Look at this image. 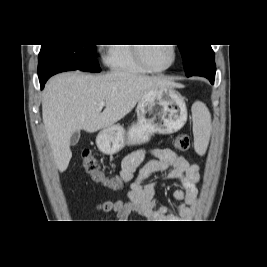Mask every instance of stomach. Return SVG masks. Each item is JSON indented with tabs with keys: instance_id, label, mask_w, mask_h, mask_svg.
<instances>
[{
	"instance_id": "1",
	"label": "stomach",
	"mask_w": 267,
	"mask_h": 267,
	"mask_svg": "<svg viewBox=\"0 0 267 267\" xmlns=\"http://www.w3.org/2000/svg\"><path fill=\"white\" fill-rule=\"evenodd\" d=\"M137 123L126 132L121 125L104 128L96 137L98 149L107 155L122 150L125 145L146 143L154 134H171L187 121L184 98L174 87L148 91L138 102Z\"/></svg>"
}]
</instances>
